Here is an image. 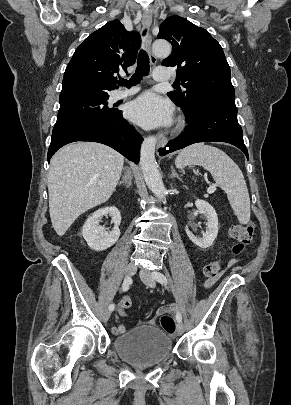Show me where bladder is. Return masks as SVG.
<instances>
[{
  "label": "bladder",
  "mask_w": 291,
  "mask_h": 405,
  "mask_svg": "<svg viewBox=\"0 0 291 405\" xmlns=\"http://www.w3.org/2000/svg\"><path fill=\"white\" fill-rule=\"evenodd\" d=\"M112 346L124 362L136 368L156 366L172 352L171 338L151 325H139L118 335Z\"/></svg>",
  "instance_id": "obj_1"
}]
</instances>
